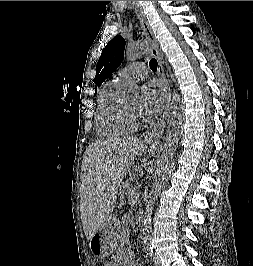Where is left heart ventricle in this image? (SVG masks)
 Masks as SVG:
<instances>
[{"label": "left heart ventricle", "mask_w": 253, "mask_h": 266, "mask_svg": "<svg viewBox=\"0 0 253 266\" xmlns=\"http://www.w3.org/2000/svg\"><path fill=\"white\" fill-rule=\"evenodd\" d=\"M139 101H140V98L137 94L127 95V104H128L130 111L138 116L140 115Z\"/></svg>", "instance_id": "left-heart-ventricle-1"}]
</instances>
